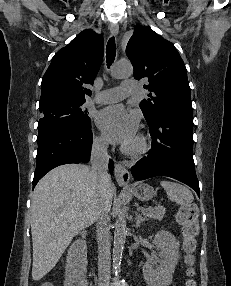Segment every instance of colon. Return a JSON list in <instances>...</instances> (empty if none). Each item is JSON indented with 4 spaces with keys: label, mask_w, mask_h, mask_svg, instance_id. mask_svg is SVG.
<instances>
[{
    "label": "colon",
    "mask_w": 231,
    "mask_h": 286,
    "mask_svg": "<svg viewBox=\"0 0 231 286\" xmlns=\"http://www.w3.org/2000/svg\"><path fill=\"white\" fill-rule=\"evenodd\" d=\"M177 222L180 224L182 228V235H183V249L185 252V263L187 265V276H188V280L186 281V286H196L193 276L195 274L194 252L196 249V238L199 234L197 206L193 203L182 206L177 213ZM41 286H54V285H52L51 283H44Z\"/></svg>",
    "instance_id": "colon-1"
}]
</instances>
